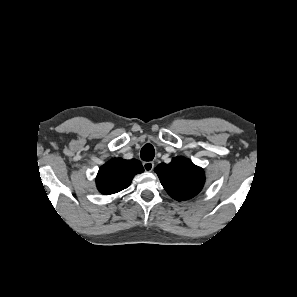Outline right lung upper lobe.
I'll return each mask as SVG.
<instances>
[{
	"label": "right lung upper lobe",
	"mask_w": 297,
	"mask_h": 297,
	"mask_svg": "<svg viewBox=\"0 0 297 297\" xmlns=\"http://www.w3.org/2000/svg\"><path fill=\"white\" fill-rule=\"evenodd\" d=\"M143 171L142 164L136 159L110 160L99 169L96 177L97 188L104 195L117 193L127 188L133 177Z\"/></svg>",
	"instance_id": "cb5924a9"
}]
</instances>
